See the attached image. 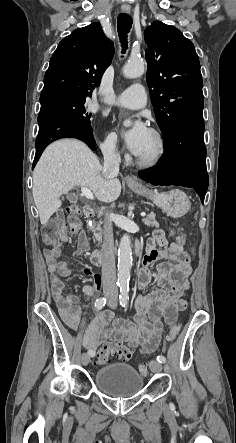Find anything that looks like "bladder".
<instances>
[{
	"instance_id": "1",
	"label": "bladder",
	"mask_w": 236,
	"mask_h": 443,
	"mask_svg": "<svg viewBox=\"0 0 236 443\" xmlns=\"http://www.w3.org/2000/svg\"><path fill=\"white\" fill-rule=\"evenodd\" d=\"M144 377L131 365L112 363L95 373L99 390L114 398L130 397L142 389Z\"/></svg>"
}]
</instances>
